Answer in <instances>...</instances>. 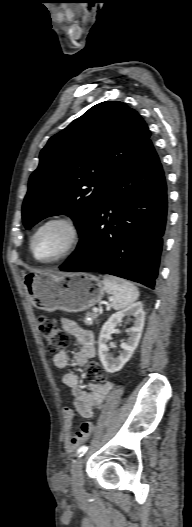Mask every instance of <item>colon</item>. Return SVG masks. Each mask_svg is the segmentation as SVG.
<instances>
[{
  "instance_id": "1",
  "label": "colon",
  "mask_w": 192,
  "mask_h": 527,
  "mask_svg": "<svg viewBox=\"0 0 192 527\" xmlns=\"http://www.w3.org/2000/svg\"><path fill=\"white\" fill-rule=\"evenodd\" d=\"M39 329L51 352H57L70 344V335L62 330L55 321L47 317L42 316L39 318ZM86 376L95 385H101L106 382L105 370L96 361H92L87 365Z\"/></svg>"
}]
</instances>
